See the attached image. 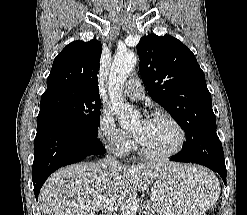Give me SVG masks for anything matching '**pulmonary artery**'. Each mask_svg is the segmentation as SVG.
I'll return each instance as SVG.
<instances>
[{"mask_svg":"<svg viewBox=\"0 0 247 215\" xmlns=\"http://www.w3.org/2000/svg\"><path fill=\"white\" fill-rule=\"evenodd\" d=\"M124 94L133 100L142 99L145 92L140 79L130 78L125 84Z\"/></svg>","mask_w":247,"mask_h":215,"instance_id":"1","label":"pulmonary artery"}]
</instances>
